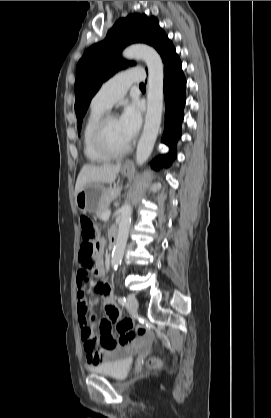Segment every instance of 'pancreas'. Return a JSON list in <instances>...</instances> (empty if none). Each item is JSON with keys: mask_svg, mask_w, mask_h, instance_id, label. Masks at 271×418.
Listing matches in <instances>:
<instances>
[{"mask_svg": "<svg viewBox=\"0 0 271 418\" xmlns=\"http://www.w3.org/2000/svg\"><path fill=\"white\" fill-rule=\"evenodd\" d=\"M120 188H110L107 189L106 192L103 195L102 201L100 203V206L98 208V210L96 211V215L98 218H102L103 214L106 213L108 211L109 205L110 203L116 199V197L118 196L119 192H120Z\"/></svg>", "mask_w": 271, "mask_h": 418, "instance_id": "cf45deb5", "label": "pancreas"}]
</instances>
